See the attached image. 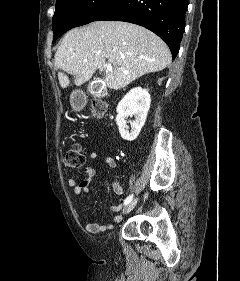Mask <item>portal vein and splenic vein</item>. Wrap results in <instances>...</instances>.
Wrapping results in <instances>:
<instances>
[{
    "label": "portal vein and splenic vein",
    "instance_id": "1",
    "mask_svg": "<svg viewBox=\"0 0 240 281\" xmlns=\"http://www.w3.org/2000/svg\"><path fill=\"white\" fill-rule=\"evenodd\" d=\"M84 61L86 62L87 60H84ZM112 69H113L112 64L106 65V71H112Z\"/></svg>",
    "mask_w": 240,
    "mask_h": 281
}]
</instances>
